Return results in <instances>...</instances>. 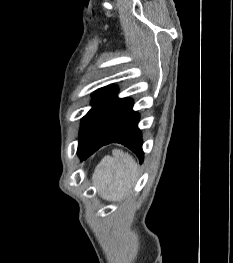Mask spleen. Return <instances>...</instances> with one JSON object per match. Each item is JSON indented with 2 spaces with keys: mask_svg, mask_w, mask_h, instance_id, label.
Returning a JSON list of instances; mask_svg holds the SVG:
<instances>
[{
  "mask_svg": "<svg viewBox=\"0 0 233 263\" xmlns=\"http://www.w3.org/2000/svg\"><path fill=\"white\" fill-rule=\"evenodd\" d=\"M138 166L128 153L112 150V156H105L93 174V184L101 196L110 201L123 199L133 187Z\"/></svg>",
  "mask_w": 233,
  "mask_h": 263,
  "instance_id": "1",
  "label": "spleen"
}]
</instances>
